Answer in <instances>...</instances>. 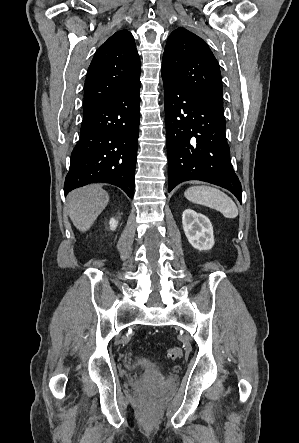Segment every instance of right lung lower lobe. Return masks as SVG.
<instances>
[{"instance_id": "right-lung-lower-lobe-1", "label": "right lung lower lobe", "mask_w": 299, "mask_h": 443, "mask_svg": "<svg viewBox=\"0 0 299 443\" xmlns=\"http://www.w3.org/2000/svg\"><path fill=\"white\" fill-rule=\"evenodd\" d=\"M140 82L83 113L81 137L71 154L64 193L93 182L134 194Z\"/></svg>"}]
</instances>
